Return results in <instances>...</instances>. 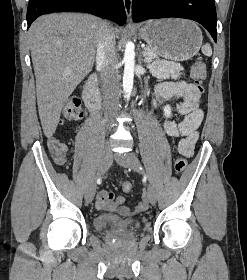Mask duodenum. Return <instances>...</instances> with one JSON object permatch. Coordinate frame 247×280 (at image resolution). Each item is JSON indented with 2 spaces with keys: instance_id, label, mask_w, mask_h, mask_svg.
Returning a JSON list of instances; mask_svg holds the SVG:
<instances>
[{
  "instance_id": "duodenum-1",
  "label": "duodenum",
  "mask_w": 247,
  "mask_h": 280,
  "mask_svg": "<svg viewBox=\"0 0 247 280\" xmlns=\"http://www.w3.org/2000/svg\"><path fill=\"white\" fill-rule=\"evenodd\" d=\"M83 99L92 114L98 113L100 110V92L95 77L91 78L84 86Z\"/></svg>"
}]
</instances>
